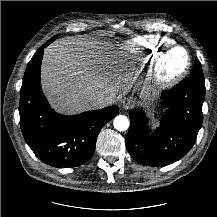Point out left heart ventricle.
<instances>
[{
    "instance_id": "1",
    "label": "left heart ventricle",
    "mask_w": 217,
    "mask_h": 217,
    "mask_svg": "<svg viewBox=\"0 0 217 217\" xmlns=\"http://www.w3.org/2000/svg\"><path fill=\"white\" fill-rule=\"evenodd\" d=\"M186 62V56L183 51L176 50L170 54L164 64L165 75H171L180 70Z\"/></svg>"
}]
</instances>
